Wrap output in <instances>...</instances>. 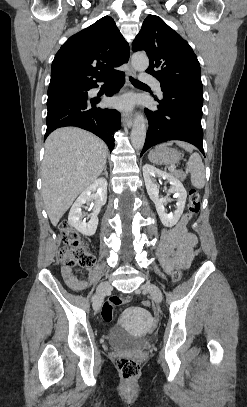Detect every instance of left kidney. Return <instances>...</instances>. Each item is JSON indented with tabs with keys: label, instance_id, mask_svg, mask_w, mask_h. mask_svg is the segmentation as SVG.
Wrapping results in <instances>:
<instances>
[{
	"label": "left kidney",
	"instance_id": "left-kidney-1",
	"mask_svg": "<svg viewBox=\"0 0 247 407\" xmlns=\"http://www.w3.org/2000/svg\"><path fill=\"white\" fill-rule=\"evenodd\" d=\"M143 176L147 193L150 199L155 203L162 224L166 227H173L180 219L185 208L187 192L183 184L170 173L161 171L150 164L143 166ZM155 176L159 179L167 180L171 185L169 192L173 193L177 199L176 210L173 213L167 214L165 211L164 204L166 203V199L159 197V188L157 184L153 182V177Z\"/></svg>",
	"mask_w": 247,
	"mask_h": 407
}]
</instances>
